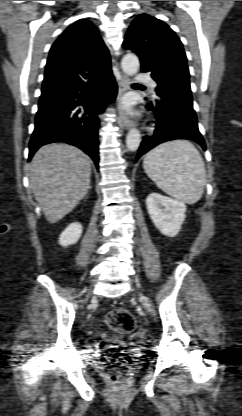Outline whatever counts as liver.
<instances>
[{
	"label": "liver",
	"instance_id": "1",
	"mask_svg": "<svg viewBox=\"0 0 242 416\" xmlns=\"http://www.w3.org/2000/svg\"><path fill=\"white\" fill-rule=\"evenodd\" d=\"M90 162L83 151L65 143L45 145L33 156L30 187L50 223L71 212L87 194Z\"/></svg>",
	"mask_w": 242,
	"mask_h": 416
}]
</instances>
